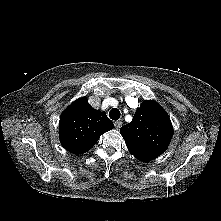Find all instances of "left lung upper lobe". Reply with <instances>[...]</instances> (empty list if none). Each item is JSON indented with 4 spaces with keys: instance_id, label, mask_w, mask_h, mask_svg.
I'll return each mask as SVG.
<instances>
[{
    "instance_id": "5c2ea615",
    "label": "left lung upper lobe",
    "mask_w": 221,
    "mask_h": 221,
    "mask_svg": "<svg viewBox=\"0 0 221 221\" xmlns=\"http://www.w3.org/2000/svg\"><path fill=\"white\" fill-rule=\"evenodd\" d=\"M131 154L141 161L160 156L168 147L173 128L165 110L154 101H144L132 122L120 129Z\"/></svg>"
}]
</instances>
